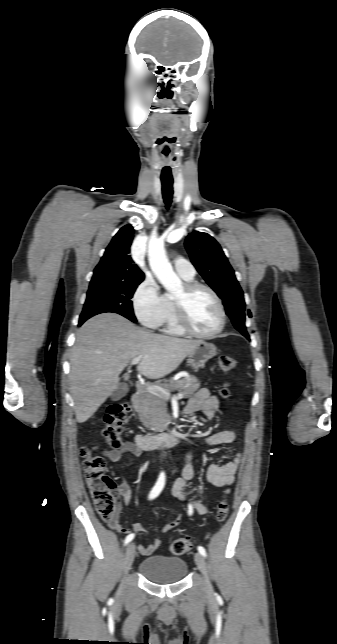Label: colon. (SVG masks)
Here are the masks:
<instances>
[{"instance_id":"1","label":"colon","mask_w":337,"mask_h":644,"mask_svg":"<svg viewBox=\"0 0 337 644\" xmlns=\"http://www.w3.org/2000/svg\"><path fill=\"white\" fill-rule=\"evenodd\" d=\"M219 369L228 373L236 367V361L230 356L221 355L217 358ZM223 398L230 394L226 385L219 391ZM129 406L126 403H117L109 406L104 416L103 436L106 443L113 449L122 445L123 425L129 413ZM83 457V469L86 483L99 516L105 522H111L116 518L117 499L115 496V484L106 473V461L88 448L80 451ZM228 515V504L222 500L216 510V519L223 522ZM192 548V541L188 538H179L171 543L170 551L173 555L180 556Z\"/></svg>"}]
</instances>
